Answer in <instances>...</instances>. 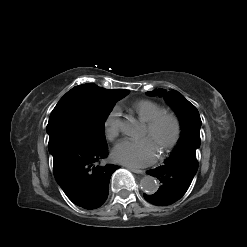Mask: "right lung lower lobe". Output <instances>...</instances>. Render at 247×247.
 Segmentation results:
<instances>
[{
	"label": "right lung lower lobe",
	"instance_id": "1",
	"mask_svg": "<svg viewBox=\"0 0 247 247\" xmlns=\"http://www.w3.org/2000/svg\"><path fill=\"white\" fill-rule=\"evenodd\" d=\"M54 177L67 197L85 209L100 207L108 197L109 181L116 165L98 166L108 147H94L65 134L49 135Z\"/></svg>",
	"mask_w": 247,
	"mask_h": 247
}]
</instances>
